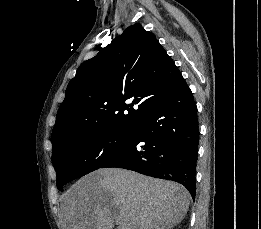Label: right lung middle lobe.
Returning a JSON list of instances; mask_svg holds the SVG:
<instances>
[{
	"label": "right lung middle lobe",
	"instance_id": "dd1d6c3e",
	"mask_svg": "<svg viewBox=\"0 0 261 229\" xmlns=\"http://www.w3.org/2000/svg\"><path fill=\"white\" fill-rule=\"evenodd\" d=\"M134 132L121 133L108 129L80 131L58 145L52 154L57 174V188L101 168L131 144Z\"/></svg>",
	"mask_w": 261,
	"mask_h": 229
}]
</instances>
